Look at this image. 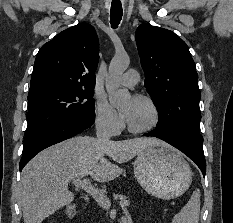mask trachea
<instances>
[{
	"instance_id": "1",
	"label": "trachea",
	"mask_w": 233,
	"mask_h": 223,
	"mask_svg": "<svg viewBox=\"0 0 233 223\" xmlns=\"http://www.w3.org/2000/svg\"><path fill=\"white\" fill-rule=\"evenodd\" d=\"M122 5L118 1H113L110 11V23L112 28H117L122 19Z\"/></svg>"
}]
</instances>
